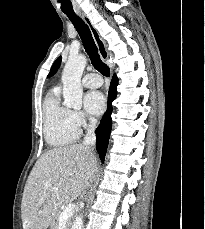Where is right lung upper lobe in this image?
Wrapping results in <instances>:
<instances>
[{
	"instance_id": "right-lung-upper-lobe-1",
	"label": "right lung upper lobe",
	"mask_w": 205,
	"mask_h": 229,
	"mask_svg": "<svg viewBox=\"0 0 205 229\" xmlns=\"http://www.w3.org/2000/svg\"><path fill=\"white\" fill-rule=\"evenodd\" d=\"M61 63V57H58L57 60L54 62V64L52 65V68L50 70V73L48 76H52L55 74V72L57 71V69L59 68Z\"/></svg>"
}]
</instances>
